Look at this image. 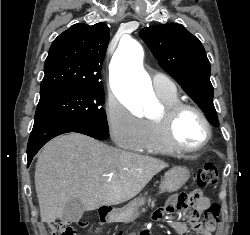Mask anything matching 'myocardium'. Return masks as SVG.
I'll return each instance as SVG.
<instances>
[{
  "label": "myocardium",
  "instance_id": "myocardium-1",
  "mask_svg": "<svg viewBox=\"0 0 250 235\" xmlns=\"http://www.w3.org/2000/svg\"><path fill=\"white\" fill-rule=\"evenodd\" d=\"M186 111H193L197 113L202 119L206 129V134L204 139L199 145L195 147L183 146L177 141L175 137L176 122L179 116ZM156 120L161 124L162 134L165 141L173 150L177 152L181 153L199 152L202 149H204L211 140L212 137L211 122L207 117L206 113L203 111V109H201L199 106L193 103L178 101L173 105L164 106L161 115L158 118H156Z\"/></svg>",
  "mask_w": 250,
  "mask_h": 235
}]
</instances>
